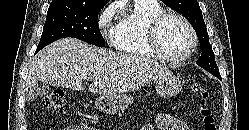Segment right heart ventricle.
Instances as JSON below:
<instances>
[{"mask_svg":"<svg viewBox=\"0 0 249 130\" xmlns=\"http://www.w3.org/2000/svg\"><path fill=\"white\" fill-rule=\"evenodd\" d=\"M162 12L164 9L157 0H133V9L113 29V46L131 56L156 57L147 40V26L153 17Z\"/></svg>","mask_w":249,"mask_h":130,"instance_id":"right-heart-ventricle-1","label":"right heart ventricle"}]
</instances>
